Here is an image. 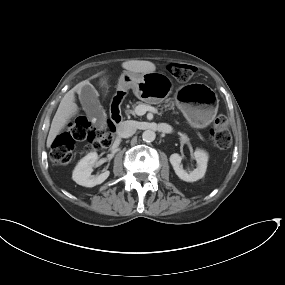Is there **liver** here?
Listing matches in <instances>:
<instances>
[{
    "mask_svg": "<svg viewBox=\"0 0 285 285\" xmlns=\"http://www.w3.org/2000/svg\"><path fill=\"white\" fill-rule=\"evenodd\" d=\"M122 67L133 73H151L155 72L156 66L150 61L129 60L122 63ZM89 83L88 80L82 81L68 91L62 98L57 112L52 120L51 128L47 137V147L49 148L67 122L78 112V106L75 103V92L80 93L83 85ZM105 81H102V85Z\"/></svg>",
    "mask_w": 285,
    "mask_h": 285,
    "instance_id": "1",
    "label": "liver"
}]
</instances>
